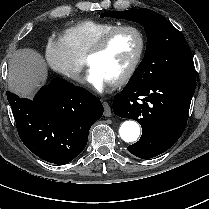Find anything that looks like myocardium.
Masks as SVG:
<instances>
[{
    "label": "myocardium",
    "instance_id": "obj_1",
    "mask_svg": "<svg viewBox=\"0 0 209 209\" xmlns=\"http://www.w3.org/2000/svg\"><path fill=\"white\" fill-rule=\"evenodd\" d=\"M124 30L133 31L137 35L139 40V47L133 61L129 65L126 72L120 78L111 82V84L115 86H121L126 84L135 75L146 49V38L143 31L139 27L133 24H122L115 26L109 31H107L105 34H103L85 55V62L88 65L91 58L101 54L106 49L112 37L116 33Z\"/></svg>",
    "mask_w": 209,
    "mask_h": 209
}]
</instances>
